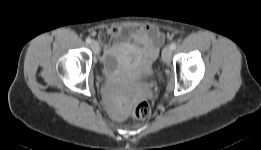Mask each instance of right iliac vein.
I'll list each match as a JSON object with an SVG mask.
<instances>
[{"mask_svg":"<svg viewBox=\"0 0 261 150\" xmlns=\"http://www.w3.org/2000/svg\"><path fill=\"white\" fill-rule=\"evenodd\" d=\"M90 46L95 54L99 53V44L97 41H92Z\"/></svg>","mask_w":261,"mask_h":150,"instance_id":"1","label":"right iliac vein"}]
</instances>
